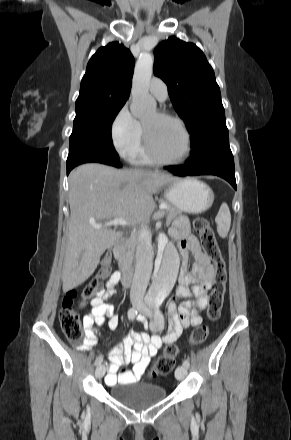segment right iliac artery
I'll return each mask as SVG.
<instances>
[{"label":"right iliac artery","mask_w":291,"mask_h":440,"mask_svg":"<svg viewBox=\"0 0 291 440\" xmlns=\"http://www.w3.org/2000/svg\"><path fill=\"white\" fill-rule=\"evenodd\" d=\"M137 316V310L135 308H130L128 310V318L129 320H134L135 317ZM103 361V356L99 355L96 360H95V365L98 366L102 363Z\"/></svg>","instance_id":"82829eb1"}]
</instances>
